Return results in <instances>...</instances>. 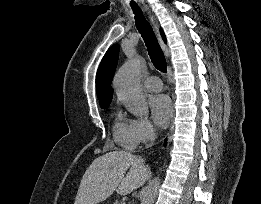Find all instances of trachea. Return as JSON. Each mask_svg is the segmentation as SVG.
Wrapping results in <instances>:
<instances>
[{
    "mask_svg": "<svg viewBox=\"0 0 261 204\" xmlns=\"http://www.w3.org/2000/svg\"><path fill=\"white\" fill-rule=\"evenodd\" d=\"M135 14V23L137 29L146 44L150 59L155 68L163 73L167 71L166 59L163 51L157 41L154 31L148 21L145 19L138 5H131Z\"/></svg>",
    "mask_w": 261,
    "mask_h": 204,
    "instance_id": "3493384b",
    "label": "trachea"
}]
</instances>
